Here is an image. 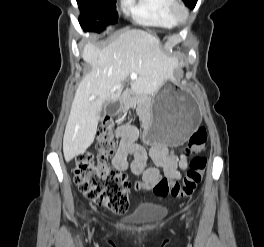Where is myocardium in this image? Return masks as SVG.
I'll list each match as a JSON object with an SVG mask.
<instances>
[{"mask_svg":"<svg viewBox=\"0 0 264 247\" xmlns=\"http://www.w3.org/2000/svg\"><path fill=\"white\" fill-rule=\"evenodd\" d=\"M172 16L176 25H186L190 21L189 9L183 3L176 2L173 5Z\"/></svg>","mask_w":264,"mask_h":247,"instance_id":"obj_1","label":"myocardium"}]
</instances>
